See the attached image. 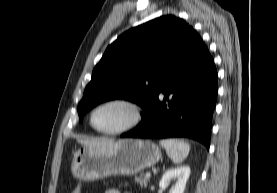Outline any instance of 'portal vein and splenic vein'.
Returning a JSON list of instances; mask_svg holds the SVG:
<instances>
[{"label": "portal vein and splenic vein", "instance_id": "portal-vein-and-splenic-vein-1", "mask_svg": "<svg viewBox=\"0 0 277 193\" xmlns=\"http://www.w3.org/2000/svg\"><path fill=\"white\" fill-rule=\"evenodd\" d=\"M151 177V173H146V178H150Z\"/></svg>", "mask_w": 277, "mask_h": 193}]
</instances>
